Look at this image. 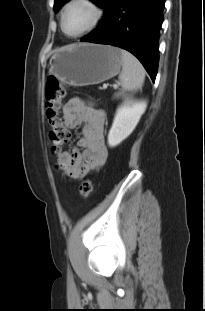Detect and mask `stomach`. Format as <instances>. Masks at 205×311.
<instances>
[{
  "label": "stomach",
  "mask_w": 205,
  "mask_h": 311,
  "mask_svg": "<svg viewBox=\"0 0 205 311\" xmlns=\"http://www.w3.org/2000/svg\"><path fill=\"white\" fill-rule=\"evenodd\" d=\"M122 67L121 49L90 43L58 49L48 64L51 75L71 86L102 83L119 74Z\"/></svg>",
  "instance_id": "0dacf381"
}]
</instances>
